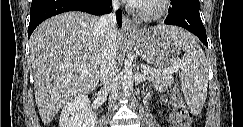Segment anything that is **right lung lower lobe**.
I'll return each mask as SVG.
<instances>
[{
	"label": "right lung lower lobe",
	"mask_w": 243,
	"mask_h": 127,
	"mask_svg": "<svg viewBox=\"0 0 243 127\" xmlns=\"http://www.w3.org/2000/svg\"><path fill=\"white\" fill-rule=\"evenodd\" d=\"M110 0H32L28 38L34 29L45 19L67 11H83L102 15L111 11ZM118 26L122 25L121 11H117Z\"/></svg>",
	"instance_id": "98d812e1"
}]
</instances>
